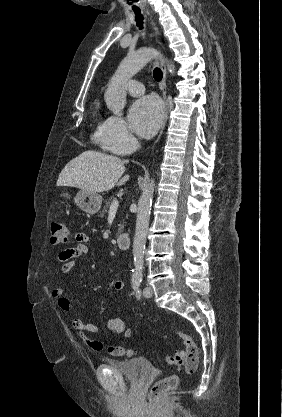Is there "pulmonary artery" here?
Here are the masks:
<instances>
[{"instance_id": "1", "label": "pulmonary artery", "mask_w": 282, "mask_h": 417, "mask_svg": "<svg viewBox=\"0 0 282 417\" xmlns=\"http://www.w3.org/2000/svg\"><path fill=\"white\" fill-rule=\"evenodd\" d=\"M127 90L131 95L138 96L144 93V85L141 82L132 79L127 82Z\"/></svg>"}]
</instances>
